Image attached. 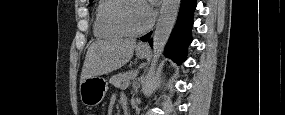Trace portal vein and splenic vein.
Wrapping results in <instances>:
<instances>
[{"instance_id": "18ae733b", "label": "portal vein and splenic vein", "mask_w": 285, "mask_h": 115, "mask_svg": "<svg viewBox=\"0 0 285 115\" xmlns=\"http://www.w3.org/2000/svg\"><path fill=\"white\" fill-rule=\"evenodd\" d=\"M129 84L128 83H126V84H124L122 87H125V86H128Z\"/></svg>"}]
</instances>
